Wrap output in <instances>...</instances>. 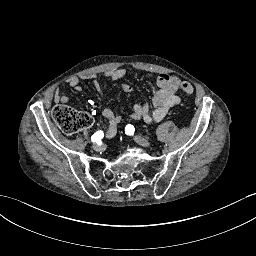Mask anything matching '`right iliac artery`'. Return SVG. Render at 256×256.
Here are the masks:
<instances>
[{"label":"right iliac artery","mask_w":256,"mask_h":256,"mask_svg":"<svg viewBox=\"0 0 256 256\" xmlns=\"http://www.w3.org/2000/svg\"><path fill=\"white\" fill-rule=\"evenodd\" d=\"M104 134L103 131H97L96 133L93 134V136L91 137V141L92 142H100L101 139L103 138Z\"/></svg>","instance_id":"82829eb1"}]
</instances>
